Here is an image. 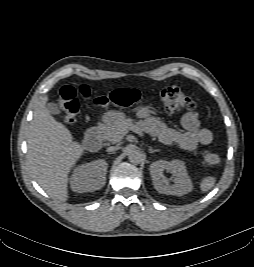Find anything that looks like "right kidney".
I'll list each match as a JSON object with an SVG mask.
<instances>
[{"label": "right kidney", "mask_w": 254, "mask_h": 267, "mask_svg": "<svg viewBox=\"0 0 254 267\" xmlns=\"http://www.w3.org/2000/svg\"><path fill=\"white\" fill-rule=\"evenodd\" d=\"M108 164L103 159L82 164L73 171L70 183L74 192H93L106 183Z\"/></svg>", "instance_id": "ca27d5eb"}]
</instances>
